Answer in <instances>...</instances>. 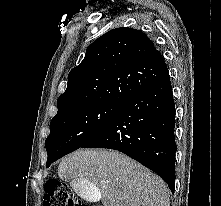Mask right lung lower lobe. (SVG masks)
I'll use <instances>...</instances> for the list:
<instances>
[{
    "instance_id": "right-lung-lower-lobe-1",
    "label": "right lung lower lobe",
    "mask_w": 221,
    "mask_h": 206,
    "mask_svg": "<svg viewBox=\"0 0 221 206\" xmlns=\"http://www.w3.org/2000/svg\"><path fill=\"white\" fill-rule=\"evenodd\" d=\"M175 103L168 72L127 101L82 148H108L132 157L175 188Z\"/></svg>"
}]
</instances>
